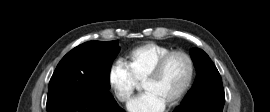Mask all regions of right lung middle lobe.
<instances>
[{"label": "right lung middle lobe", "instance_id": "1", "mask_svg": "<svg viewBox=\"0 0 270 112\" xmlns=\"http://www.w3.org/2000/svg\"><path fill=\"white\" fill-rule=\"evenodd\" d=\"M118 42L89 41L67 53L51 77L47 101L70 90L102 101L114 100L109 92L110 68L119 52Z\"/></svg>", "mask_w": 270, "mask_h": 112}]
</instances>
